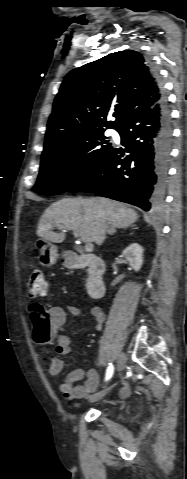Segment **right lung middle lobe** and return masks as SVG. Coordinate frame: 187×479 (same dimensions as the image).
<instances>
[{"label": "right lung middle lobe", "mask_w": 187, "mask_h": 479, "mask_svg": "<svg viewBox=\"0 0 187 479\" xmlns=\"http://www.w3.org/2000/svg\"><path fill=\"white\" fill-rule=\"evenodd\" d=\"M105 129L86 131L44 148L33 191L56 195L80 182L112 149Z\"/></svg>", "instance_id": "right-lung-middle-lobe-1"}]
</instances>
